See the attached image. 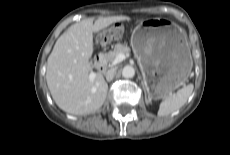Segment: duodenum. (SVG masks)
Wrapping results in <instances>:
<instances>
[{
  "label": "duodenum",
  "instance_id": "duodenum-1",
  "mask_svg": "<svg viewBox=\"0 0 230 155\" xmlns=\"http://www.w3.org/2000/svg\"><path fill=\"white\" fill-rule=\"evenodd\" d=\"M95 67L99 73H102L105 71L106 62L104 60L103 54H97L95 56Z\"/></svg>",
  "mask_w": 230,
  "mask_h": 155
}]
</instances>
